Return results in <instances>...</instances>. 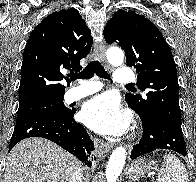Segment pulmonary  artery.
Returning <instances> with one entry per match:
<instances>
[{"mask_svg": "<svg viewBox=\"0 0 196 182\" xmlns=\"http://www.w3.org/2000/svg\"><path fill=\"white\" fill-rule=\"evenodd\" d=\"M135 73L128 68H119L114 76V80L119 85H131L135 81ZM102 88L96 81H81L80 85L71 88L68 91L70 101L81 99L85 96L98 92Z\"/></svg>", "mask_w": 196, "mask_h": 182, "instance_id": "pulmonary-artery-1", "label": "pulmonary artery"}]
</instances>
